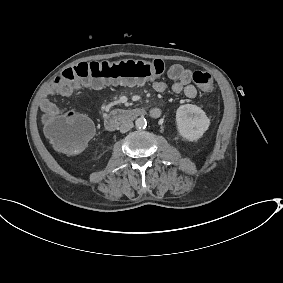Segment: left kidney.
Instances as JSON below:
<instances>
[{
  "label": "left kidney",
  "instance_id": "1",
  "mask_svg": "<svg viewBox=\"0 0 283 283\" xmlns=\"http://www.w3.org/2000/svg\"><path fill=\"white\" fill-rule=\"evenodd\" d=\"M176 122L179 134L189 141L201 138L210 125L205 112L192 104L181 105L177 109Z\"/></svg>",
  "mask_w": 283,
  "mask_h": 283
}]
</instances>
